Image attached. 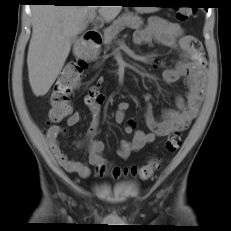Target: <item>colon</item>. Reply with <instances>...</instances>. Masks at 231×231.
Returning <instances> with one entry per match:
<instances>
[{
	"label": "colon",
	"mask_w": 231,
	"mask_h": 231,
	"mask_svg": "<svg viewBox=\"0 0 231 231\" xmlns=\"http://www.w3.org/2000/svg\"><path fill=\"white\" fill-rule=\"evenodd\" d=\"M191 13L192 10L190 8H184L178 10L176 16L179 21H185L189 18ZM85 69L86 63L82 59L72 60L64 66L50 95V121L60 122L71 114V98L80 84ZM180 145L181 136L179 132H173L168 136L165 148L168 152L173 153L180 147ZM159 167L160 161L153 159L147 164L139 167H113L108 170L105 165H101L97 167V171L101 175L109 174L116 179L127 175L137 176L140 179H148Z\"/></svg>",
	"instance_id": "1"
}]
</instances>
